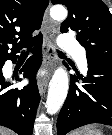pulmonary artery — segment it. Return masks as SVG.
Masks as SVG:
<instances>
[{
	"label": "pulmonary artery",
	"instance_id": "obj_1",
	"mask_svg": "<svg viewBox=\"0 0 112 135\" xmlns=\"http://www.w3.org/2000/svg\"><path fill=\"white\" fill-rule=\"evenodd\" d=\"M59 46L75 58L83 71H87V58L79 43L69 35L62 34L59 38Z\"/></svg>",
	"mask_w": 112,
	"mask_h": 135
}]
</instances>
